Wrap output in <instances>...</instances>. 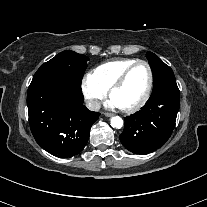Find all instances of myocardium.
<instances>
[{
	"label": "myocardium",
	"mask_w": 207,
	"mask_h": 207,
	"mask_svg": "<svg viewBox=\"0 0 207 207\" xmlns=\"http://www.w3.org/2000/svg\"><path fill=\"white\" fill-rule=\"evenodd\" d=\"M144 65L147 69V73H148V84H147V88L142 96V98L135 103L132 106L126 107V108H119L120 111H122L123 113H133L136 112L137 110H139L140 108H142L145 103L148 101L151 92H152V88H153V83H154V79H153V72H152V68L150 66V64L144 60H135L132 64H130L121 74L120 76L115 80V82L112 84L111 88L109 89V97L112 98V95L120 88L123 86L126 78L128 77L129 73L131 72V70L137 66V65Z\"/></svg>",
	"instance_id": "obj_1"
}]
</instances>
